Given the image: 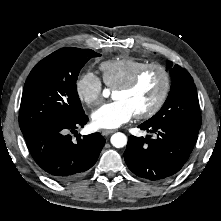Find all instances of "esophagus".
<instances>
[{
    "mask_svg": "<svg viewBox=\"0 0 221 221\" xmlns=\"http://www.w3.org/2000/svg\"><path fill=\"white\" fill-rule=\"evenodd\" d=\"M114 132H115V130H102L101 133L103 136H107V135L112 134Z\"/></svg>",
    "mask_w": 221,
    "mask_h": 221,
    "instance_id": "34e87169",
    "label": "esophagus"
}]
</instances>
